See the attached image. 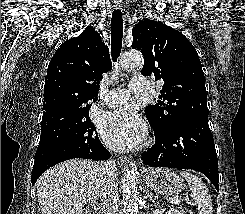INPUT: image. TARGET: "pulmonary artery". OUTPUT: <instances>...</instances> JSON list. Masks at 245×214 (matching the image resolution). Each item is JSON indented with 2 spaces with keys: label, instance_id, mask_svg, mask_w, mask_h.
<instances>
[{
  "label": "pulmonary artery",
  "instance_id": "1",
  "mask_svg": "<svg viewBox=\"0 0 245 214\" xmlns=\"http://www.w3.org/2000/svg\"><path fill=\"white\" fill-rule=\"evenodd\" d=\"M129 86L130 90H127L125 88H117L111 90L104 97V103L110 107L122 104L129 98L130 93H145L148 89L149 82L143 77L136 76L131 79Z\"/></svg>",
  "mask_w": 245,
  "mask_h": 214
}]
</instances>
